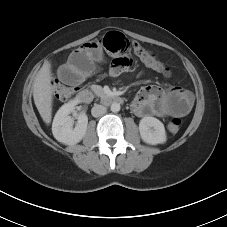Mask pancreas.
<instances>
[{"label":"pancreas","mask_w":227,"mask_h":227,"mask_svg":"<svg viewBox=\"0 0 227 227\" xmlns=\"http://www.w3.org/2000/svg\"><path fill=\"white\" fill-rule=\"evenodd\" d=\"M92 89L97 96H99V97L104 96V92L100 86H93Z\"/></svg>","instance_id":"obj_1"}]
</instances>
